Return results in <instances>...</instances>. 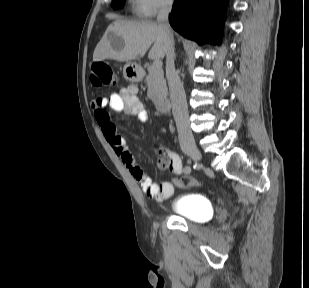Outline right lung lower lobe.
<instances>
[{
    "label": "right lung lower lobe",
    "mask_w": 309,
    "mask_h": 288,
    "mask_svg": "<svg viewBox=\"0 0 309 288\" xmlns=\"http://www.w3.org/2000/svg\"><path fill=\"white\" fill-rule=\"evenodd\" d=\"M227 0H175L171 26L199 44L220 42V29Z\"/></svg>",
    "instance_id": "98d812e1"
}]
</instances>
